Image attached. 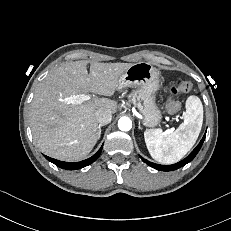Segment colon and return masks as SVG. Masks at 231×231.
Wrapping results in <instances>:
<instances>
[{
	"label": "colon",
	"instance_id": "5ec220e1",
	"mask_svg": "<svg viewBox=\"0 0 231 231\" xmlns=\"http://www.w3.org/2000/svg\"><path fill=\"white\" fill-rule=\"evenodd\" d=\"M191 83L188 81H182L178 84L172 85L170 92L172 96L180 93V92H188L191 90ZM167 108L170 112H177L181 108V104L179 101L175 100L173 97H171L167 103Z\"/></svg>",
	"mask_w": 231,
	"mask_h": 231
}]
</instances>
